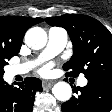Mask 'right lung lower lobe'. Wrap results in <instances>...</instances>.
<instances>
[{
  "label": "right lung lower lobe",
  "instance_id": "1",
  "mask_svg": "<svg viewBox=\"0 0 112 112\" xmlns=\"http://www.w3.org/2000/svg\"><path fill=\"white\" fill-rule=\"evenodd\" d=\"M41 80L29 77L12 87L0 80V112H32L37 91H42Z\"/></svg>",
  "mask_w": 112,
  "mask_h": 112
}]
</instances>
